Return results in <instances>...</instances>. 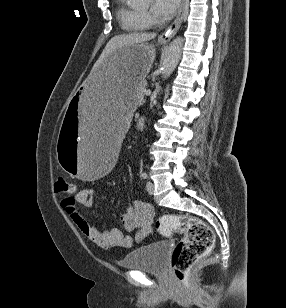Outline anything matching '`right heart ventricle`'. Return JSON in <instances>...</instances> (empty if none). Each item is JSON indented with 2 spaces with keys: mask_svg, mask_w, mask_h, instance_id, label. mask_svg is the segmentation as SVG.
I'll return each instance as SVG.
<instances>
[{
  "mask_svg": "<svg viewBox=\"0 0 286 308\" xmlns=\"http://www.w3.org/2000/svg\"><path fill=\"white\" fill-rule=\"evenodd\" d=\"M117 19L121 28L127 32H142L150 26L146 16L141 11L133 9L127 0H118Z\"/></svg>",
  "mask_w": 286,
  "mask_h": 308,
  "instance_id": "1",
  "label": "right heart ventricle"
}]
</instances>
